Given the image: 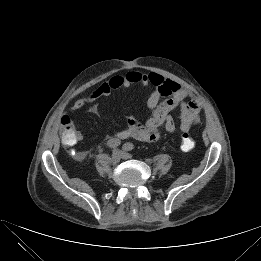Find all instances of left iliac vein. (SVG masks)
<instances>
[{
  "label": "left iliac vein",
  "mask_w": 261,
  "mask_h": 261,
  "mask_svg": "<svg viewBox=\"0 0 261 261\" xmlns=\"http://www.w3.org/2000/svg\"><path fill=\"white\" fill-rule=\"evenodd\" d=\"M121 158L122 159H129L131 158V155L125 152H121Z\"/></svg>",
  "instance_id": "left-iliac-vein-1"
}]
</instances>
